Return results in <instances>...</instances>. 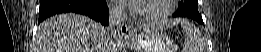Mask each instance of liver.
<instances>
[{"instance_id":"liver-1","label":"liver","mask_w":261,"mask_h":52,"mask_svg":"<svg viewBox=\"0 0 261 52\" xmlns=\"http://www.w3.org/2000/svg\"><path fill=\"white\" fill-rule=\"evenodd\" d=\"M108 45L104 27L88 17L68 13L51 17L39 25L33 50L104 52L110 50Z\"/></svg>"}]
</instances>
